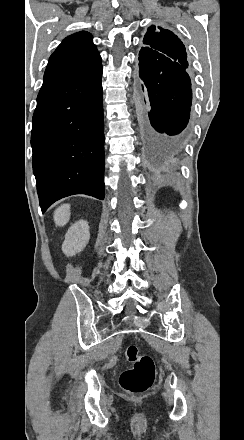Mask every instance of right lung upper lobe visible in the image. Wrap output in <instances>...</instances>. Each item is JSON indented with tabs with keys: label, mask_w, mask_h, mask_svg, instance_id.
Instances as JSON below:
<instances>
[{
	"label": "right lung upper lobe",
	"mask_w": 244,
	"mask_h": 440,
	"mask_svg": "<svg viewBox=\"0 0 244 440\" xmlns=\"http://www.w3.org/2000/svg\"><path fill=\"white\" fill-rule=\"evenodd\" d=\"M100 62L91 34L81 31L62 41L51 55L44 76L73 68H89Z\"/></svg>",
	"instance_id": "cb5924a9"
}]
</instances>
